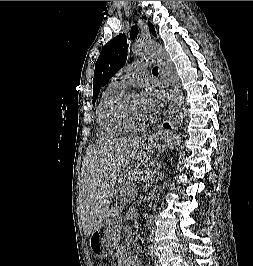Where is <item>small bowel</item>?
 Masks as SVG:
<instances>
[{"mask_svg":"<svg viewBox=\"0 0 253 266\" xmlns=\"http://www.w3.org/2000/svg\"><path fill=\"white\" fill-rule=\"evenodd\" d=\"M116 266H142L138 258L132 253L119 252Z\"/></svg>","mask_w":253,"mask_h":266,"instance_id":"c3829d8e","label":"small bowel"}]
</instances>
